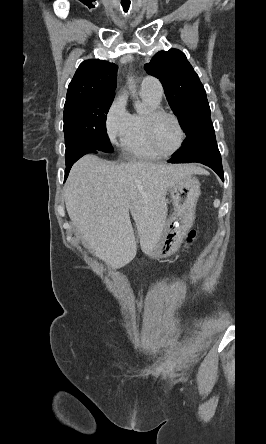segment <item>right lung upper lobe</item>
<instances>
[{
    "mask_svg": "<svg viewBox=\"0 0 266 444\" xmlns=\"http://www.w3.org/2000/svg\"><path fill=\"white\" fill-rule=\"evenodd\" d=\"M117 66L90 59L82 62L69 84L65 104L96 96L114 95Z\"/></svg>",
    "mask_w": 266,
    "mask_h": 444,
    "instance_id": "right-lung-upper-lobe-1",
    "label": "right lung upper lobe"
}]
</instances>
